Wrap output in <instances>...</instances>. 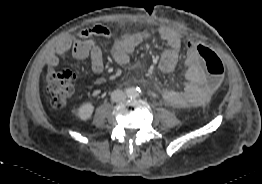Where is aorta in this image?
Returning <instances> with one entry per match:
<instances>
[{"instance_id": "762f6f07", "label": "aorta", "mask_w": 262, "mask_h": 184, "mask_svg": "<svg viewBox=\"0 0 262 184\" xmlns=\"http://www.w3.org/2000/svg\"><path fill=\"white\" fill-rule=\"evenodd\" d=\"M139 95V92L136 88H133L130 92L131 97H137Z\"/></svg>"}]
</instances>
